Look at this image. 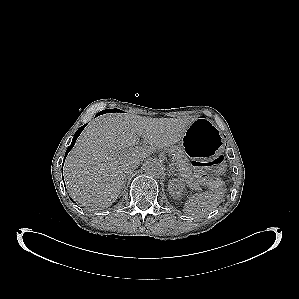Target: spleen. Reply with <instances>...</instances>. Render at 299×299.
Masks as SVG:
<instances>
[{
    "label": "spleen",
    "instance_id": "obj_1",
    "mask_svg": "<svg viewBox=\"0 0 299 299\" xmlns=\"http://www.w3.org/2000/svg\"><path fill=\"white\" fill-rule=\"evenodd\" d=\"M225 193L226 189L222 188L193 194L185 202L183 212L188 216L203 217L219 206Z\"/></svg>",
    "mask_w": 299,
    "mask_h": 299
}]
</instances>
